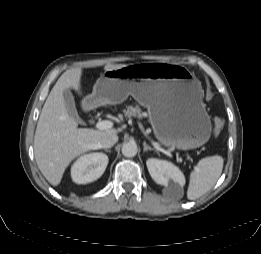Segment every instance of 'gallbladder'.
Returning a JSON list of instances; mask_svg holds the SVG:
<instances>
[{
    "mask_svg": "<svg viewBox=\"0 0 261 254\" xmlns=\"http://www.w3.org/2000/svg\"><path fill=\"white\" fill-rule=\"evenodd\" d=\"M63 96H64V101L67 105V108H68V111L70 113V115L78 122L81 121L78 113H77V110H76V107H75V102H74V97L72 95V93L69 91V90H64L63 91Z\"/></svg>",
    "mask_w": 261,
    "mask_h": 254,
    "instance_id": "obj_1",
    "label": "gallbladder"
}]
</instances>
